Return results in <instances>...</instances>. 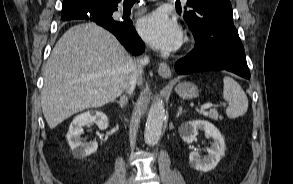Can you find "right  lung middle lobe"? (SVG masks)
I'll list each match as a JSON object with an SVG mask.
<instances>
[{"mask_svg":"<svg viewBox=\"0 0 293 184\" xmlns=\"http://www.w3.org/2000/svg\"><path fill=\"white\" fill-rule=\"evenodd\" d=\"M82 4L85 6V7H89L92 5V2H90V0H86V1H82Z\"/></svg>","mask_w":293,"mask_h":184,"instance_id":"1","label":"right lung middle lobe"}]
</instances>
